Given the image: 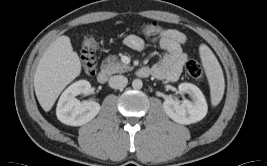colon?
<instances>
[{
  "label": "colon",
  "mask_w": 267,
  "mask_h": 166,
  "mask_svg": "<svg viewBox=\"0 0 267 166\" xmlns=\"http://www.w3.org/2000/svg\"><path fill=\"white\" fill-rule=\"evenodd\" d=\"M143 33L146 35H158L162 33V27L157 22H152L143 27ZM98 42L93 36H85L81 43L82 68L83 71L92 75L95 73L97 58L96 52ZM186 72L197 80L204 79V72L201 65L195 60H188L185 64Z\"/></svg>",
  "instance_id": "colon-1"
}]
</instances>
